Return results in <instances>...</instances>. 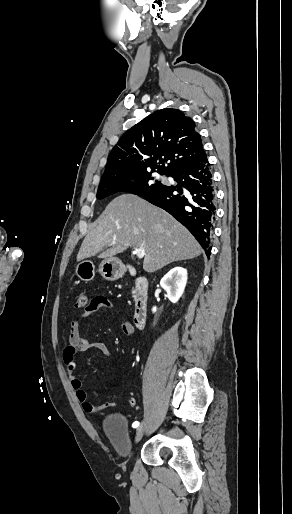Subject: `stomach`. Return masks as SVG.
<instances>
[{
	"label": "stomach",
	"instance_id": "stomach-1",
	"mask_svg": "<svg viewBox=\"0 0 292 514\" xmlns=\"http://www.w3.org/2000/svg\"><path fill=\"white\" fill-rule=\"evenodd\" d=\"M99 274L109 280V282H115L122 278L125 272V266H123L121 260L118 258H106L99 266ZM75 274L82 282H91L95 278V266L90 260H83L79 262L75 268Z\"/></svg>",
	"mask_w": 292,
	"mask_h": 514
}]
</instances>
